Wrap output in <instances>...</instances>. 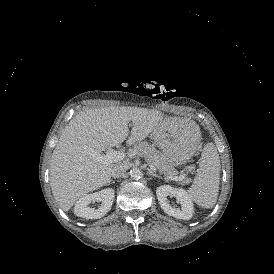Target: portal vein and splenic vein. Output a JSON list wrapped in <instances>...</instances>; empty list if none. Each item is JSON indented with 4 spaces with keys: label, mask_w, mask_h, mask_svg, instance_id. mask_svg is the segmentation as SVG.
I'll return each instance as SVG.
<instances>
[{
    "label": "portal vein and splenic vein",
    "mask_w": 274,
    "mask_h": 274,
    "mask_svg": "<svg viewBox=\"0 0 274 274\" xmlns=\"http://www.w3.org/2000/svg\"><path fill=\"white\" fill-rule=\"evenodd\" d=\"M124 153L120 151H115L114 149H109L106 153V155H97L95 154V157L101 161V162H118L123 160L124 158ZM151 169H155V167L150 164ZM184 179V176H179V177H171V180L175 181H182Z\"/></svg>",
    "instance_id": "obj_1"
}]
</instances>
